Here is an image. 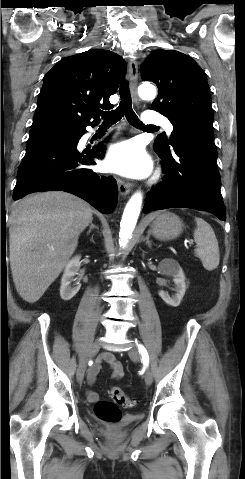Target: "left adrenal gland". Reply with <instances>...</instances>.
<instances>
[{"instance_id": "left-adrenal-gland-1", "label": "left adrenal gland", "mask_w": 245, "mask_h": 479, "mask_svg": "<svg viewBox=\"0 0 245 479\" xmlns=\"http://www.w3.org/2000/svg\"><path fill=\"white\" fill-rule=\"evenodd\" d=\"M149 236L150 234H148L145 238H144V241L146 242V244L148 245L149 248H151V242L149 240Z\"/></svg>"}]
</instances>
